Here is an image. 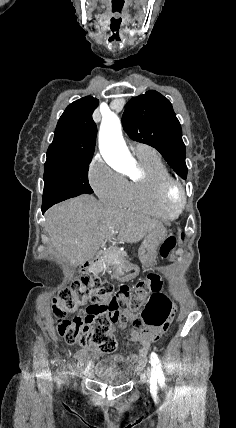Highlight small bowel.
I'll return each mask as SVG.
<instances>
[{"instance_id": "obj_1", "label": "small bowel", "mask_w": 236, "mask_h": 428, "mask_svg": "<svg viewBox=\"0 0 236 428\" xmlns=\"http://www.w3.org/2000/svg\"><path fill=\"white\" fill-rule=\"evenodd\" d=\"M136 320L138 318L136 317ZM121 328H125L127 323H121ZM130 330V341L135 344L141 345V348L137 353L132 354L129 359L131 361L143 360L147 354L148 346L151 342L159 338L163 333V330L159 329H144L142 326H137L132 324ZM100 352L88 353L85 350H79L76 353V359L78 361L79 367L84 370L86 373H93L98 367L104 366L107 361H121L123 357L121 355H115L110 359H100Z\"/></svg>"}]
</instances>
